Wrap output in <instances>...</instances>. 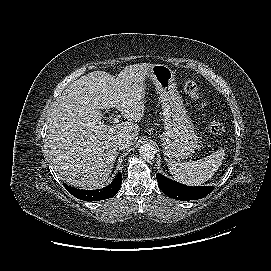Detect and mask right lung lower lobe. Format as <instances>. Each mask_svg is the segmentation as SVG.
<instances>
[{
	"instance_id": "1",
	"label": "right lung lower lobe",
	"mask_w": 271,
	"mask_h": 271,
	"mask_svg": "<svg viewBox=\"0 0 271 271\" xmlns=\"http://www.w3.org/2000/svg\"><path fill=\"white\" fill-rule=\"evenodd\" d=\"M122 183V175L119 173L111 184L98 190H80L63 183L66 190L78 199L84 201H99L112 198L117 194Z\"/></svg>"
}]
</instances>
